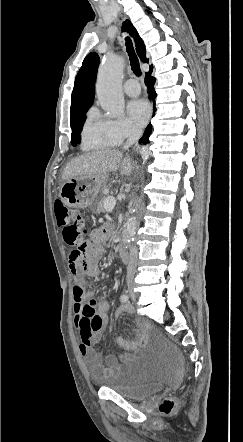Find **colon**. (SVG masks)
Wrapping results in <instances>:
<instances>
[{"label": "colon", "instance_id": "obj_1", "mask_svg": "<svg viewBox=\"0 0 243 442\" xmlns=\"http://www.w3.org/2000/svg\"><path fill=\"white\" fill-rule=\"evenodd\" d=\"M56 222L62 227L63 239L67 246L72 248L69 258L74 263H79L84 259L87 231L86 219L78 210L70 209L62 200L58 199L54 203ZM177 405L174 399H166L160 405V411L169 414L175 411Z\"/></svg>", "mask_w": 243, "mask_h": 442}]
</instances>
